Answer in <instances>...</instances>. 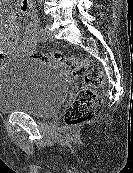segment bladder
<instances>
[{"label": "bladder", "mask_w": 133, "mask_h": 173, "mask_svg": "<svg viewBox=\"0 0 133 173\" xmlns=\"http://www.w3.org/2000/svg\"><path fill=\"white\" fill-rule=\"evenodd\" d=\"M68 94L56 68L29 58H14L0 70V113H27L47 119Z\"/></svg>", "instance_id": "obj_1"}]
</instances>
